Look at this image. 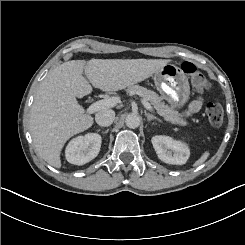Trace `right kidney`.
I'll use <instances>...</instances> for the list:
<instances>
[{
	"instance_id": "ca27d5eb",
	"label": "right kidney",
	"mask_w": 245,
	"mask_h": 245,
	"mask_svg": "<svg viewBox=\"0 0 245 245\" xmlns=\"http://www.w3.org/2000/svg\"><path fill=\"white\" fill-rule=\"evenodd\" d=\"M102 138L97 133H88L72 139L65 150V156L69 163L84 165L93 160L99 153Z\"/></svg>"
}]
</instances>
